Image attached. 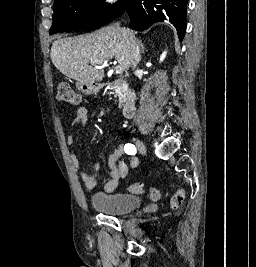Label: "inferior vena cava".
Masks as SVG:
<instances>
[{"instance_id":"602c4592","label":"inferior vena cava","mask_w":256,"mask_h":267,"mask_svg":"<svg viewBox=\"0 0 256 267\" xmlns=\"http://www.w3.org/2000/svg\"><path fill=\"white\" fill-rule=\"evenodd\" d=\"M114 26L115 28H118V30H120L122 34H125V36H127V30H123V28H120L119 22H117V24H114ZM130 60L132 68H136L137 64H139L140 62V48L137 40H134V42H132Z\"/></svg>"}]
</instances>
